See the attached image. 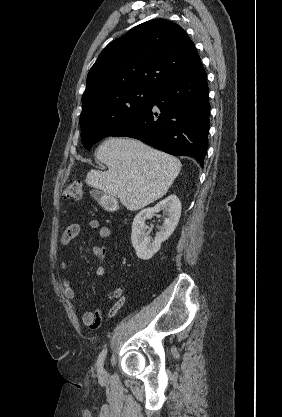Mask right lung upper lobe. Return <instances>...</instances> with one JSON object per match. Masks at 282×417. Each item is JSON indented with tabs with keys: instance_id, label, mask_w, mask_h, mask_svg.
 <instances>
[{
	"instance_id": "right-lung-upper-lobe-1",
	"label": "right lung upper lobe",
	"mask_w": 282,
	"mask_h": 417,
	"mask_svg": "<svg viewBox=\"0 0 282 417\" xmlns=\"http://www.w3.org/2000/svg\"><path fill=\"white\" fill-rule=\"evenodd\" d=\"M199 65L194 43L179 25L166 19L150 20L106 46L88 73L82 101L133 87L156 90Z\"/></svg>"
}]
</instances>
